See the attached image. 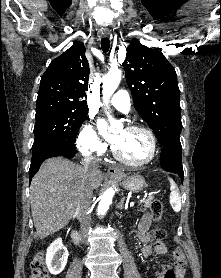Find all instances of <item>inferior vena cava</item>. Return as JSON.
I'll use <instances>...</instances> for the list:
<instances>
[{
	"instance_id": "1",
	"label": "inferior vena cava",
	"mask_w": 221,
	"mask_h": 278,
	"mask_svg": "<svg viewBox=\"0 0 221 278\" xmlns=\"http://www.w3.org/2000/svg\"><path fill=\"white\" fill-rule=\"evenodd\" d=\"M83 168L86 172V181L83 185L76 211L78 212L81 231L83 234H86L91 223L89 210L92 204L93 187L90 180L100 171L98 159L94 157L85 158L83 160Z\"/></svg>"
}]
</instances>
